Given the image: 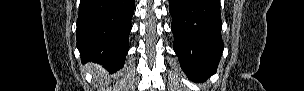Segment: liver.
Listing matches in <instances>:
<instances>
[{
  "label": "liver",
  "mask_w": 304,
  "mask_h": 91,
  "mask_svg": "<svg viewBox=\"0 0 304 91\" xmlns=\"http://www.w3.org/2000/svg\"><path fill=\"white\" fill-rule=\"evenodd\" d=\"M90 67H91L92 72H93L94 75L100 71V67L97 66V65H92L91 64Z\"/></svg>",
  "instance_id": "6515ba94"
}]
</instances>
